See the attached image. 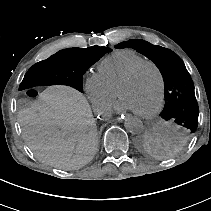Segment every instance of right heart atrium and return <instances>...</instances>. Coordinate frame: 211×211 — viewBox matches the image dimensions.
Wrapping results in <instances>:
<instances>
[{
	"label": "right heart atrium",
	"instance_id": "d8ad5b80",
	"mask_svg": "<svg viewBox=\"0 0 211 211\" xmlns=\"http://www.w3.org/2000/svg\"><path fill=\"white\" fill-rule=\"evenodd\" d=\"M84 89L96 112L104 113L111 107L115 92L105 84L97 73L86 79Z\"/></svg>",
	"mask_w": 211,
	"mask_h": 211
}]
</instances>
